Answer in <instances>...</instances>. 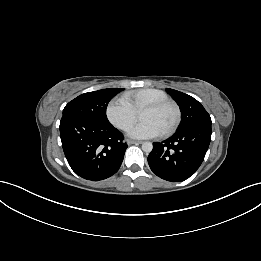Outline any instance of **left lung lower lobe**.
Instances as JSON below:
<instances>
[{"label": "left lung lower lobe", "instance_id": "obj_1", "mask_svg": "<svg viewBox=\"0 0 261 261\" xmlns=\"http://www.w3.org/2000/svg\"><path fill=\"white\" fill-rule=\"evenodd\" d=\"M211 140V126L200 125L177 131L172 137L153 143L148 163L155 175L171 181H184L204 160Z\"/></svg>", "mask_w": 261, "mask_h": 261}]
</instances>
